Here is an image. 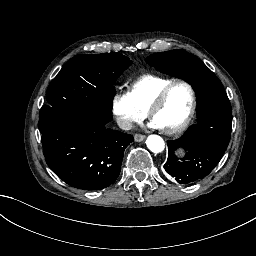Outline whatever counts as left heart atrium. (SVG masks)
Here are the masks:
<instances>
[{
	"instance_id": "1",
	"label": "left heart atrium",
	"mask_w": 256,
	"mask_h": 256,
	"mask_svg": "<svg viewBox=\"0 0 256 256\" xmlns=\"http://www.w3.org/2000/svg\"><path fill=\"white\" fill-rule=\"evenodd\" d=\"M149 127L152 129L164 131V125L160 121H158L157 119H155L153 117L151 118V120L149 122Z\"/></svg>"
}]
</instances>
